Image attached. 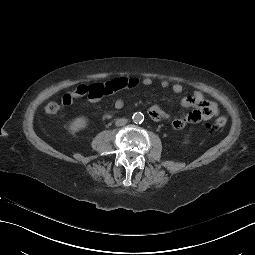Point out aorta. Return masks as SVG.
<instances>
[{
	"instance_id": "762f6f07",
	"label": "aorta",
	"mask_w": 255,
	"mask_h": 255,
	"mask_svg": "<svg viewBox=\"0 0 255 255\" xmlns=\"http://www.w3.org/2000/svg\"><path fill=\"white\" fill-rule=\"evenodd\" d=\"M132 120L136 124H141L144 121V115L141 112H136L132 116Z\"/></svg>"
}]
</instances>
